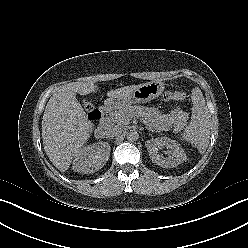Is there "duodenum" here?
<instances>
[{
  "label": "duodenum",
  "mask_w": 248,
  "mask_h": 248,
  "mask_svg": "<svg viewBox=\"0 0 248 248\" xmlns=\"http://www.w3.org/2000/svg\"><path fill=\"white\" fill-rule=\"evenodd\" d=\"M108 106H102L101 109L98 111L97 116L94 119L95 122V136L97 138H101L105 132L106 128V115L109 112Z\"/></svg>",
  "instance_id": "duodenum-1"
}]
</instances>
